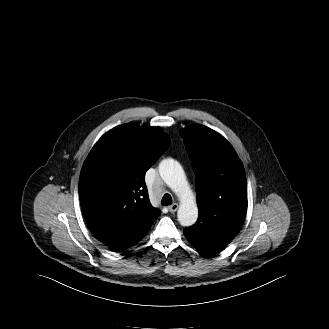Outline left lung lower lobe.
Returning <instances> with one entry per match:
<instances>
[{
    "instance_id": "left-lung-lower-lobe-1",
    "label": "left lung lower lobe",
    "mask_w": 329,
    "mask_h": 329,
    "mask_svg": "<svg viewBox=\"0 0 329 329\" xmlns=\"http://www.w3.org/2000/svg\"><path fill=\"white\" fill-rule=\"evenodd\" d=\"M239 231L235 230H225L223 231L217 239L214 240H195L190 238L186 230H184V235L187 240L198 250L204 252L207 255H214L220 252L231 240L238 234Z\"/></svg>"
}]
</instances>
